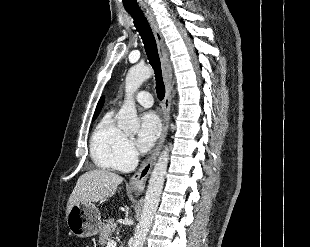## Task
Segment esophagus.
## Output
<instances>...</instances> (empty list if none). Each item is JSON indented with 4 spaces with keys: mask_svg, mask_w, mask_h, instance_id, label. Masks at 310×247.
<instances>
[{
    "mask_svg": "<svg viewBox=\"0 0 310 247\" xmlns=\"http://www.w3.org/2000/svg\"><path fill=\"white\" fill-rule=\"evenodd\" d=\"M148 20L150 22V26L152 28L158 53L161 61L163 79L165 83V97L162 104L163 109V127L160 139L156 148L154 149L153 153L149 156V158L142 164L140 169L131 177L130 179V187L138 193L144 191L145 184L147 178L152 170V167L155 164V161L159 155L161 147L165 141L168 126H169V119H170V105H171V83H172V69L171 64L168 58L167 50L164 44L163 35L158 27L157 22L155 21L154 17L148 15Z\"/></svg>",
    "mask_w": 310,
    "mask_h": 247,
    "instance_id": "esophagus-1",
    "label": "esophagus"
}]
</instances>
